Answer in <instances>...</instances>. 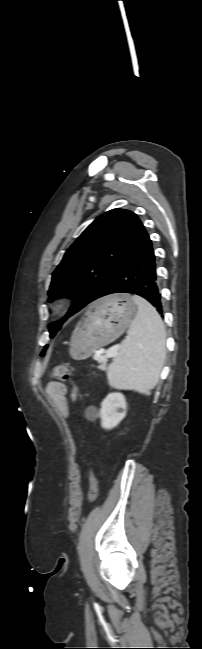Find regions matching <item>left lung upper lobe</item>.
<instances>
[{"mask_svg":"<svg viewBox=\"0 0 202 649\" xmlns=\"http://www.w3.org/2000/svg\"><path fill=\"white\" fill-rule=\"evenodd\" d=\"M142 226L135 213L112 209L97 217L71 245L52 274L48 295L49 301L60 294L70 295L74 303L61 322L49 325L51 338L66 318L95 300L105 278Z\"/></svg>","mask_w":202,"mask_h":649,"instance_id":"1","label":"left lung upper lobe"}]
</instances>
